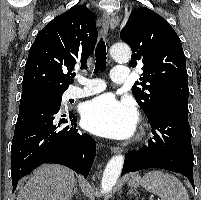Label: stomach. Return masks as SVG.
<instances>
[{
	"label": "stomach",
	"instance_id": "obj_1",
	"mask_svg": "<svg viewBox=\"0 0 201 200\" xmlns=\"http://www.w3.org/2000/svg\"><path fill=\"white\" fill-rule=\"evenodd\" d=\"M130 186H134L137 187L139 185H142V179L140 178V176L136 175V176H132L129 181H128Z\"/></svg>",
	"mask_w": 201,
	"mask_h": 200
}]
</instances>
